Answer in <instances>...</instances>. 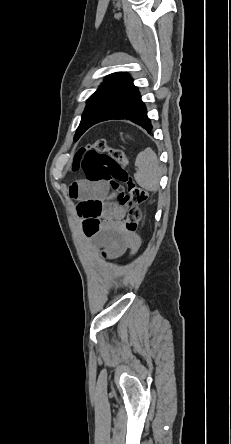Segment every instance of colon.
Instances as JSON below:
<instances>
[{
	"label": "colon",
	"mask_w": 231,
	"mask_h": 444,
	"mask_svg": "<svg viewBox=\"0 0 231 444\" xmlns=\"http://www.w3.org/2000/svg\"><path fill=\"white\" fill-rule=\"evenodd\" d=\"M127 166L126 153L122 149L110 147L104 139L80 148L72 163V169L83 172L87 182L105 181L110 184L127 212L124 229L127 233L134 234L141 219L140 205L148 199L149 193L134 184ZM100 212L99 202L88 201L79 204L78 213L83 218V229L88 236L98 232Z\"/></svg>",
	"instance_id": "colon-1"
}]
</instances>
